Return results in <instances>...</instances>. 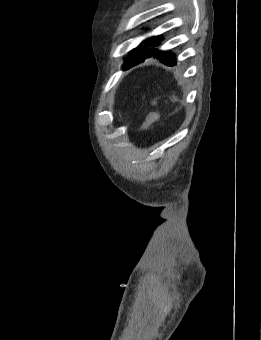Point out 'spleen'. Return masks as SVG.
I'll use <instances>...</instances> for the list:
<instances>
[{
	"label": "spleen",
	"mask_w": 261,
	"mask_h": 340,
	"mask_svg": "<svg viewBox=\"0 0 261 340\" xmlns=\"http://www.w3.org/2000/svg\"><path fill=\"white\" fill-rule=\"evenodd\" d=\"M174 101H177V98L175 96L172 97Z\"/></svg>",
	"instance_id": "spleen-1"
}]
</instances>
